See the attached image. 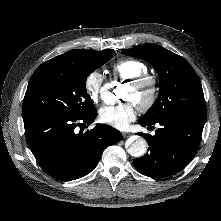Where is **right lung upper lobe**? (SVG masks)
<instances>
[{
  "mask_svg": "<svg viewBox=\"0 0 221 221\" xmlns=\"http://www.w3.org/2000/svg\"><path fill=\"white\" fill-rule=\"evenodd\" d=\"M92 52H94V51L76 49V50H72L70 52H67L65 54L59 55L53 59L58 60V61H77L81 58L88 56Z\"/></svg>",
  "mask_w": 221,
  "mask_h": 221,
  "instance_id": "1",
  "label": "right lung upper lobe"
}]
</instances>
